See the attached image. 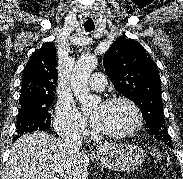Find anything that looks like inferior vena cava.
<instances>
[{
  "instance_id": "1",
  "label": "inferior vena cava",
  "mask_w": 183,
  "mask_h": 179,
  "mask_svg": "<svg viewBox=\"0 0 183 179\" xmlns=\"http://www.w3.org/2000/svg\"><path fill=\"white\" fill-rule=\"evenodd\" d=\"M63 145L72 154H76L80 150L82 142V134L80 131H73L61 136Z\"/></svg>"
}]
</instances>
